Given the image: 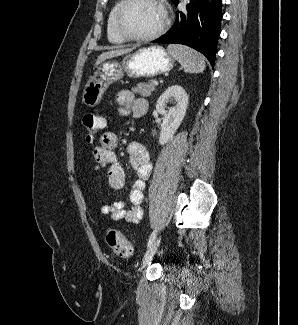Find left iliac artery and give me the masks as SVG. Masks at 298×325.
Masks as SVG:
<instances>
[{
  "mask_svg": "<svg viewBox=\"0 0 298 325\" xmlns=\"http://www.w3.org/2000/svg\"><path fill=\"white\" fill-rule=\"evenodd\" d=\"M155 238H156V230H154L152 232V234H151V236H150V238L148 240V247L154 242Z\"/></svg>",
  "mask_w": 298,
  "mask_h": 325,
  "instance_id": "1",
  "label": "left iliac artery"
}]
</instances>
